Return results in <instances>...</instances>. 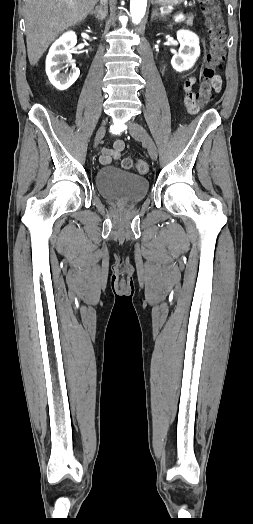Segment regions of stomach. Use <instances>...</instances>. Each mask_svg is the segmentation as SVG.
Instances as JSON below:
<instances>
[{"mask_svg": "<svg viewBox=\"0 0 253 524\" xmlns=\"http://www.w3.org/2000/svg\"><path fill=\"white\" fill-rule=\"evenodd\" d=\"M181 2H183V0H155V3L161 6H174Z\"/></svg>", "mask_w": 253, "mask_h": 524, "instance_id": "1", "label": "stomach"}]
</instances>
